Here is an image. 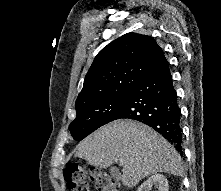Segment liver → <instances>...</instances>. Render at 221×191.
<instances>
[{"instance_id": "liver-1", "label": "liver", "mask_w": 221, "mask_h": 191, "mask_svg": "<svg viewBox=\"0 0 221 191\" xmlns=\"http://www.w3.org/2000/svg\"><path fill=\"white\" fill-rule=\"evenodd\" d=\"M76 156L90 165L123 167L120 179L131 188L158 172L182 175L181 157L156 131L140 122L122 119L102 126L78 144Z\"/></svg>"}]
</instances>
